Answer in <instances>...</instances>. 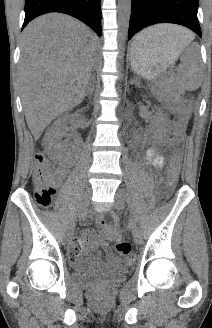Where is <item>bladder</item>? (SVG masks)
Listing matches in <instances>:
<instances>
[{
    "label": "bladder",
    "mask_w": 212,
    "mask_h": 328,
    "mask_svg": "<svg viewBox=\"0 0 212 328\" xmlns=\"http://www.w3.org/2000/svg\"><path fill=\"white\" fill-rule=\"evenodd\" d=\"M72 277L74 281L80 285L91 286L102 283H119L125 279V274L118 272L109 274H97L90 270L87 262L81 261L75 264Z\"/></svg>",
    "instance_id": "obj_1"
}]
</instances>
